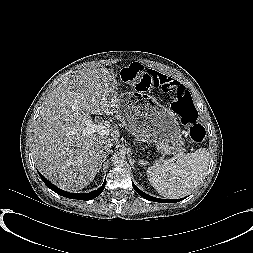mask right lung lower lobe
<instances>
[{
	"mask_svg": "<svg viewBox=\"0 0 253 253\" xmlns=\"http://www.w3.org/2000/svg\"><path fill=\"white\" fill-rule=\"evenodd\" d=\"M39 175H40L41 179L43 180V182L51 190H53L54 192H56L57 194H59L61 196L71 198V199L91 200V199L96 198L98 195H100L105 188V181H104V183L102 184V186L100 188H98L97 190H94L92 192L83 193V194L69 193V192L63 191V190L59 189L58 187H56L55 185H53L50 181H48L46 178H44L40 173H39Z\"/></svg>",
	"mask_w": 253,
	"mask_h": 253,
	"instance_id": "right-lung-lower-lobe-1",
	"label": "right lung lower lobe"
}]
</instances>
